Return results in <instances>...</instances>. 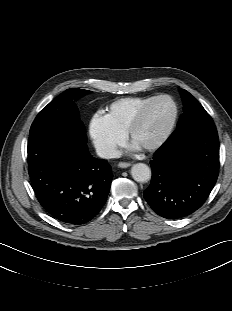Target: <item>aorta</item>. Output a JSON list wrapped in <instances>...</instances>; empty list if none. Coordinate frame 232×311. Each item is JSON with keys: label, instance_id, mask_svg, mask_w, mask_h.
Wrapping results in <instances>:
<instances>
[{"label": "aorta", "instance_id": "obj_1", "mask_svg": "<svg viewBox=\"0 0 232 311\" xmlns=\"http://www.w3.org/2000/svg\"><path fill=\"white\" fill-rule=\"evenodd\" d=\"M131 175L135 181L145 183L151 178V169L144 163H137L132 166Z\"/></svg>", "mask_w": 232, "mask_h": 311}]
</instances>
